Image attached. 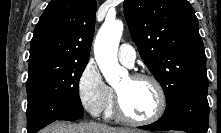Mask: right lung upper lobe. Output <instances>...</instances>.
<instances>
[{
    "label": "right lung upper lobe",
    "mask_w": 221,
    "mask_h": 133,
    "mask_svg": "<svg viewBox=\"0 0 221 133\" xmlns=\"http://www.w3.org/2000/svg\"><path fill=\"white\" fill-rule=\"evenodd\" d=\"M96 0H51L31 40L29 75L54 66L88 62Z\"/></svg>",
    "instance_id": "1"
}]
</instances>
